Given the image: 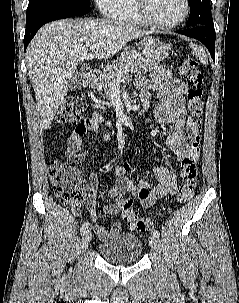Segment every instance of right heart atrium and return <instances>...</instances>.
I'll use <instances>...</instances> for the list:
<instances>
[{"label":"right heart atrium","instance_id":"1","mask_svg":"<svg viewBox=\"0 0 239 303\" xmlns=\"http://www.w3.org/2000/svg\"><path fill=\"white\" fill-rule=\"evenodd\" d=\"M124 0H94L104 16L115 18L121 11Z\"/></svg>","mask_w":239,"mask_h":303}]
</instances>
